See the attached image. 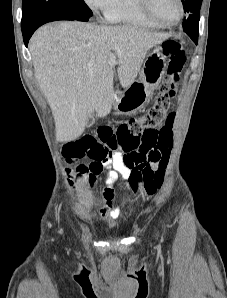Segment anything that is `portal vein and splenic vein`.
Returning a JSON list of instances; mask_svg holds the SVG:
<instances>
[{"label": "portal vein and splenic vein", "mask_w": 227, "mask_h": 298, "mask_svg": "<svg viewBox=\"0 0 227 298\" xmlns=\"http://www.w3.org/2000/svg\"><path fill=\"white\" fill-rule=\"evenodd\" d=\"M108 63H109L111 66H114V65L117 64L116 56H115L114 54H110Z\"/></svg>", "instance_id": "1"}]
</instances>
